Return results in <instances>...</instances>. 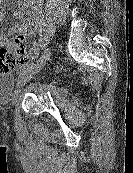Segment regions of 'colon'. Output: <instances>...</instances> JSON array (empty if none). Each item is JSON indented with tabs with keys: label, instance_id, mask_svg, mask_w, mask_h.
I'll return each mask as SVG.
<instances>
[{
	"label": "colon",
	"instance_id": "1",
	"mask_svg": "<svg viewBox=\"0 0 133 173\" xmlns=\"http://www.w3.org/2000/svg\"><path fill=\"white\" fill-rule=\"evenodd\" d=\"M27 63L28 57L21 37H15L9 47L0 49V72H7Z\"/></svg>",
	"mask_w": 133,
	"mask_h": 173
}]
</instances>
